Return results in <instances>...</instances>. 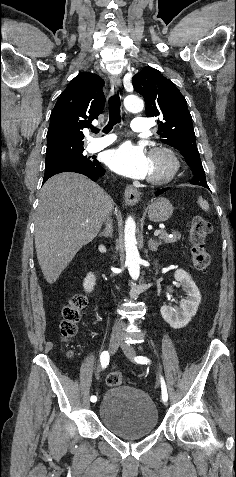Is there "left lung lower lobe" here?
<instances>
[{
	"label": "left lung lower lobe",
	"instance_id": "0a47b994",
	"mask_svg": "<svg viewBox=\"0 0 236 477\" xmlns=\"http://www.w3.org/2000/svg\"><path fill=\"white\" fill-rule=\"evenodd\" d=\"M202 186L209 189L208 185H202ZM168 189L169 188H163L161 190H158V191L155 192V195L158 196V195L162 194L163 192L167 191Z\"/></svg>",
	"mask_w": 236,
	"mask_h": 477
}]
</instances>
